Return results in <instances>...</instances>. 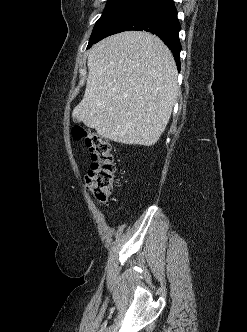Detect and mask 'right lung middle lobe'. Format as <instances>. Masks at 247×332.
Returning <instances> with one entry per match:
<instances>
[{
    "label": "right lung middle lobe",
    "instance_id": "obj_1",
    "mask_svg": "<svg viewBox=\"0 0 247 332\" xmlns=\"http://www.w3.org/2000/svg\"><path fill=\"white\" fill-rule=\"evenodd\" d=\"M145 0H108L102 16L96 22L87 49L99 41L104 30L130 11L145 4Z\"/></svg>",
    "mask_w": 247,
    "mask_h": 332
}]
</instances>
